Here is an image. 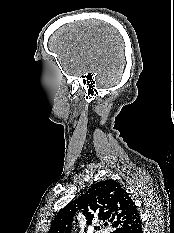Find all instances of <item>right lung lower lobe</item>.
<instances>
[{
	"label": "right lung lower lobe",
	"mask_w": 174,
	"mask_h": 233,
	"mask_svg": "<svg viewBox=\"0 0 174 233\" xmlns=\"http://www.w3.org/2000/svg\"><path fill=\"white\" fill-rule=\"evenodd\" d=\"M132 233H142L141 225L137 229H135Z\"/></svg>",
	"instance_id": "1"
}]
</instances>
